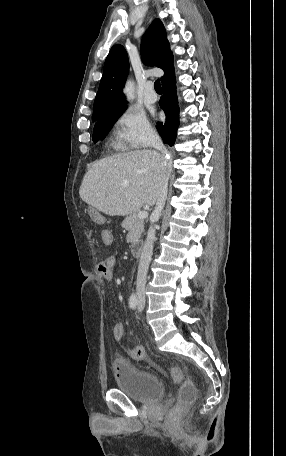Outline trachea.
Segmentation results:
<instances>
[{"label": "trachea", "instance_id": "3493384b", "mask_svg": "<svg viewBox=\"0 0 286 456\" xmlns=\"http://www.w3.org/2000/svg\"><path fill=\"white\" fill-rule=\"evenodd\" d=\"M154 89L156 90V92H162V87H161V84H160V80H156L155 81Z\"/></svg>", "mask_w": 286, "mask_h": 456}]
</instances>
